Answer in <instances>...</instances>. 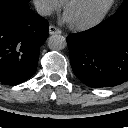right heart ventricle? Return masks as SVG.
<instances>
[{"instance_id": "obj_1", "label": "right heart ventricle", "mask_w": 128, "mask_h": 128, "mask_svg": "<svg viewBox=\"0 0 128 128\" xmlns=\"http://www.w3.org/2000/svg\"><path fill=\"white\" fill-rule=\"evenodd\" d=\"M62 2H65L66 0H61Z\"/></svg>"}]
</instances>
